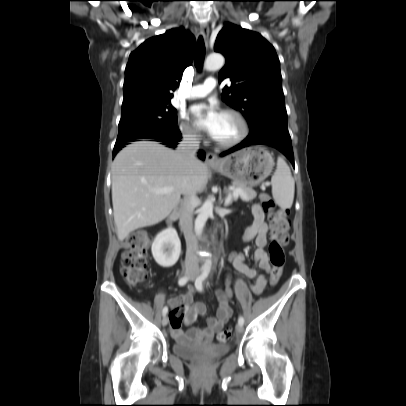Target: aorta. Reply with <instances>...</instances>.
Here are the masks:
<instances>
[{
    "instance_id": "aorta-1",
    "label": "aorta",
    "mask_w": 406,
    "mask_h": 406,
    "mask_svg": "<svg viewBox=\"0 0 406 406\" xmlns=\"http://www.w3.org/2000/svg\"><path fill=\"white\" fill-rule=\"evenodd\" d=\"M225 59L221 54H210L205 61V68L209 71H215L223 67ZM213 212V198H208L200 209V212L195 220V233L197 236L202 235L203 228L208 217ZM211 261L207 260L204 268L210 269Z\"/></svg>"
}]
</instances>
